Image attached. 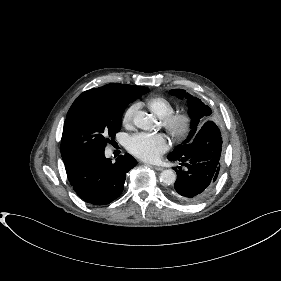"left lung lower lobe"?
Segmentation results:
<instances>
[{"label":"left lung lower lobe","mask_w":281,"mask_h":281,"mask_svg":"<svg viewBox=\"0 0 281 281\" xmlns=\"http://www.w3.org/2000/svg\"><path fill=\"white\" fill-rule=\"evenodd\" d=\"M221 151L220 130L214 122L207 121L182 155H168V160L179 161L184 166L173 168L177 180L171 193L185 203H196L205 198L218 177Z\"/></svg>","instance_id":"left-lung-lower-lobe-1"}]
</instances>
